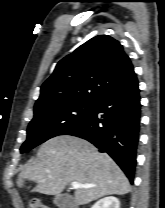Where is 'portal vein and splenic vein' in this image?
<instances>
[{"label": "portal vein and splenic vein", "mask_w": 165, "mask_h": 208, "mask_svg": "<svg viewBox=\"0 0 165 208\" xmlns=\"http://www.w3.org/2000/svg\"><path fill=\"white\" fill-rule=\"evenodd\" d=\"M71 185L74 189L94 187V185H83V184H80L78 182H72Z\"/></svg>", "instance_id": "portal-vein-and-splenic-vein-1"}]
</instances>
